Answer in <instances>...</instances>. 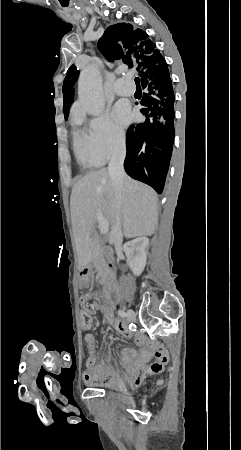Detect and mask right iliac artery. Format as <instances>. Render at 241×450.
<instances>
[{"instance_id": "82829eb1", "label": "right iliac artery", "mask_w": 241, "mask_h": 450, "mask_svg": "<svg viewBox=\"0 0 241 450\" xmlns=\"http://www.w3.org/2000/svg\"><path fill=\"white\" fill-rule=\"evenodd\" d=\"M118 315L124 318L126 316V313L123 310H118Z\"/></svg>"}]
</instances>
